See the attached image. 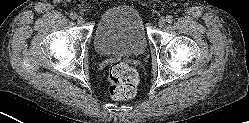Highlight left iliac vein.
<instances>
[{"label": "left iliac vein", "mask_w": 249, "mask_h": 123, "mask_svg": "<svg viewBox=\"0 0 249 123\" xmlns=\"http://www.w3.org/2000/svg\"><path fill=\"white\" fill-rule=\"evenodd\" d=\"M165 24H166L165 18H160L159 21H158L159 27H164Z\"/></svg>", "instance_id": "left-iliac-vein-1"}]
</instances>
